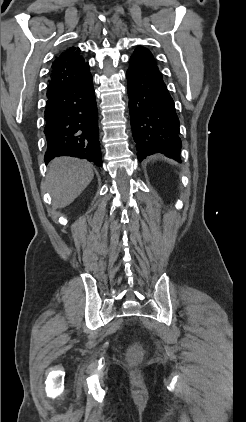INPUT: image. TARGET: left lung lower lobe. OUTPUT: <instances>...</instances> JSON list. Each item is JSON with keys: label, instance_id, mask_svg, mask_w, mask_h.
I'll list each match as a JSON object with an SVG mask.
<instances>
[{"label": "left lung lower lobe", "instance_id": "1", "mask_svg": "<svg viewBox=\"0 0 246 422\" xmlns=\"http://www.w3.org/2000/svg\"><path fill=\"white\" fill-rule=\"evenodd\" d=\"M129 65V111L138 160L161 153L180 162L179 119L153 55L137 47Z\"/></svg>", "mask_w": 246, "mask_h": 422}]
</instances>
